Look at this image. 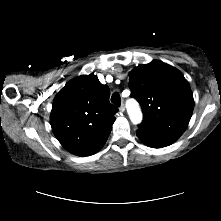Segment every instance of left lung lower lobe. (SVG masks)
Wrapping results in <instances>:
<instances>
[{
    "label": "left lung lower lobe",
    "mask_w": 221,
    "mask_h": 221,
    "mask_svg": "<svg viewBox=\"0 0 221 221\" xmlns=\"http://www.w3.org/2000/svg\"><path fill=\"white\" fill-rule=\"evenodd\" d=\"M138 137L149 147L162 148L175 142L178 138L155 134L144 129L137 130Z\"/></svg>",
    "instance_id": "left-lung-lower-lobe-1"
}]
</instances>
